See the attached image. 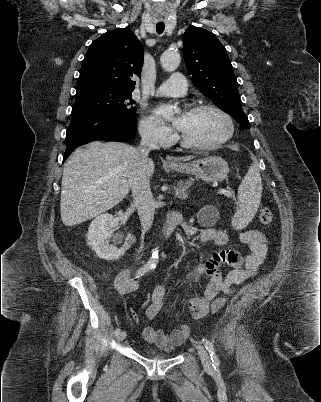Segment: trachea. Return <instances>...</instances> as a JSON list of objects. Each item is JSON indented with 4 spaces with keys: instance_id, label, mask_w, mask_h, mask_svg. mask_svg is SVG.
<instances>
[{
    "instance_id": "1",
    "label": "trachea",
    "mask_w": 321,
    "mask_h": 402,
    "mask_svg": "<svg viewBox=\"0 0 321 402\" xmlns=\"http://www.w3.org/2000/svg\"><path fill=\"white\" fill-rule=\"evenodd\" d=\"M165 29V25L163 23H158L156 25V31L158 34H162Z\"/></svg>"
}]
</instances>
